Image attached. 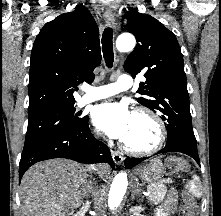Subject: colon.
Listing matches in <instances>:
<instances>
[{"instance_id": "obj_1", "label": "colon", "mask_w": 221, "mask_h": 216, "mask_svg": "<svg viewBox=\"0 0 221 216\" xmlns=\"http://www.w3.org/2000/svg\"><path fill=\"white\" fill-rule=\"evenodd\" d=\"M168 167L173 171H181L185 167L182 159L173 157L167 161ZM183 216H197V205L194 198L186 191L182 192Z\"/></svg>"}]
</instances>
